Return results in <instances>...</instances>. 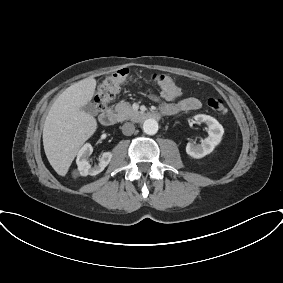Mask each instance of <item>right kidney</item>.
<instances>
[{"label": "right kidney", "mask_w": 283, "mask_h": 283, "mask_svg": "<svg viewBox=\"0 0 283 283\" xmlns=\"http://www.w3.org/2000/svg\"><path fill=\"white\" fill-rule=\"evenodd\" d=\"M93 152V147L91 144L86 143L84 146L79 150L77 154L76 163L78 166V171L80 175L82 176H95L99 173H101L105 167L109 164L112 158L111 152H104L102 154V157L99 159L98 165H95L94 167H91L88 159V156Z\"/></svg>", "instance_id": "1"}]
</instances>
